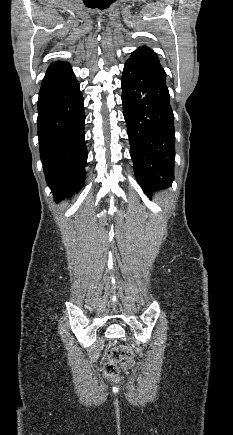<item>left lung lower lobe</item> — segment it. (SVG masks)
I'll use <instances>...</instances> for the list:
<instances>
[{
    "label": "left lung lower lobe",
    "mask_w": 233,
    "mask_h": 435,
    "mask_svg": "<svg viewBox=\"0 0 233 435\" xmlns=\"http://www.w3.org/2000/svg\"><path fill=\"white\" fill-rule=\"evenodd\" d=\"M123 114L136 179L149 197L174 179V115L166 82L125 63Z\"/></svg>",
    "instance_id": "left-lung-lower-lobe-1"
}]
</instances>
